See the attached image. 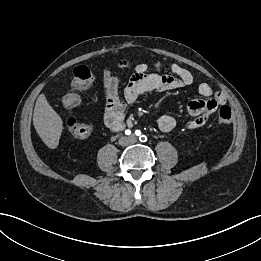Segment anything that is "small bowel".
I'll return each mask as SVG.
<instances>
[{
    "label": "small bowel",
    "mask_w": 261,
    "mask_h": 261,
    "mask_svg": "<svg viewBox=\"0 0 261 261\" xmlns=\"http://www.w3.org/2000/svg\"><path fill=\"white\" fill-rule=\"evenodd\" d=\"M120 68L125 64L120 63ZM155 71L145 63L136 65L134 74L124 87H120L119 77L112 69L103 73V87L106 100L105 124L111 130H118L123 124L126 105L134 103L142 95L153 91H169L194 84L193 75L177 63L165 64L155 62L152 64ZM167 68L170 74L160 73L159 70ZM197 91L201 98L193 99L188 104V113L192 117L185 127L194 130L204 126L218 106L226 102L225 95L214 91L207 83H200ZM157 127L164 132L171 131L177 125L176 119L171 115H160L156 118Z\"/></svg>",
    "instance_id": "obj_1"
}]
</instances>
